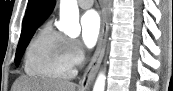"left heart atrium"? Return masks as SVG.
<instances>
[{"label": "left heart atrium", "instance_id": "left-heart-atrium-1", "mask_svg": "<svg viewBox=\"0 0 173 91\" xmlns=\"http://www.w3.org/2000/svg\"><path fill=\"white\" fill-rule=\"evenodd\" d=\"M82 40L86 47L91 48L97 42L101 32V20L94 10L85 12L80 20Z\"/></svg>", "mask_w": 173, "mask_h": 91}]
</instances>
